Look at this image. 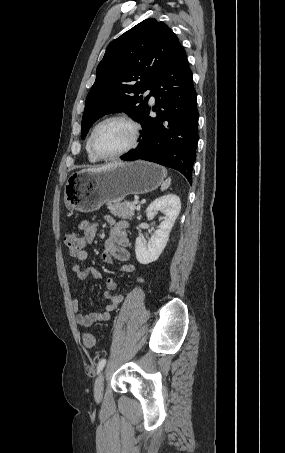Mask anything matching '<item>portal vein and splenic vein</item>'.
<instances>
[{
    "instance_id": "portal-vein-and-splenic-vein-1",
    "label": "portal vein and splenic vein",
    "mask_w": 285,
    "mask_h": 453,
    "mask_svg": "<svg viewBox=\"0 0 285 453\" xmlns=\"http://www.w3.org/2000/svg\"><path fill=\"white\" fill-rule=\"evenodd\" d=\"M137 203H138V202L136 201V202H134V203L130 204V208H131V209H135V208H136V204H137Z\"/></svg>"
}]
</instances>
